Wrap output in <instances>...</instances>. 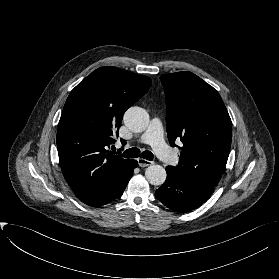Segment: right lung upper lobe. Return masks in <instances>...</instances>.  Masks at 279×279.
Here are the masks:
<instances>
[{
  "label": "right lung upper lobe",
  "instance_id": "right-lung-upper-lobe-1",
  "mask_svg": "<svg viewBox=\"0 0 279 279\" xmlns=\"http://www.w3.org/2000/svg\"><path fill=\"white\" fill-rule=\"evenodd\" d=\"M151 79L115 67H100L70 93L57 129L62 172L84 203L112 189L133 159L108 152L124 112L151 86Z\"/></svg>",
  "mask_w": 279,
  "mask_h": 279
}]
</instances>
